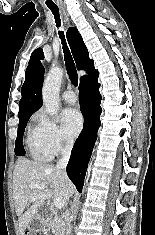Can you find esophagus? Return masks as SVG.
<instances>
[{
    "instance_id": "1",
    "label": "esophagus",
    "mask_w": 155,
    "mask_h": 235,
    "mask_svg": "<svg viewBox=\"0 0 155 235\" xmlns=\"http://www.w3.org/2000/svg\"><path fill=\"white\" fill-rule=\"evenodd\" d=\"M64 17H65V21L69 24V18L65 12H64Z\"/></svg>"
}]
</instances>
